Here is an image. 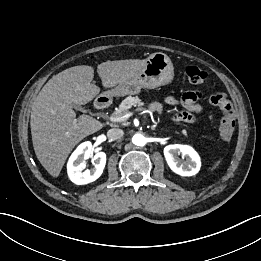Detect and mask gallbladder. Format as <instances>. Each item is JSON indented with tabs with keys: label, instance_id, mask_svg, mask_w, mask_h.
<instances>
[{
	"label": "gallbladder",
	"instance_id": "gallbladder-1",
	"mask_svg": "<svg viewBox=\"0 0 261 261\" xmlns=\"http://www.w3.org/2000/svg\"><path fill=\"white\" fill-rule=\"evenodd\" d=\"M73 107H74L76 110L84 111V109H83L81 106H79V105H74Z\"/></svg>",
	"mask_w": 261,
	"mask_h": 261
}]
</instances>
